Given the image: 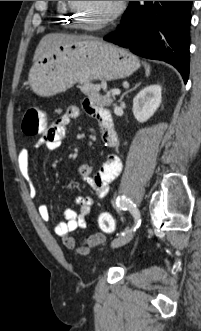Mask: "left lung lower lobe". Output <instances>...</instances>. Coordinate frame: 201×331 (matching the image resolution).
Instances as JSON below:
<instances>
[{"label":"left lung lower lobe","instance_id":"obj_1","mask_svg":"<svg viewBox=\"0 0 201 331\" xmlns=\"http://www.w3.org/2000/svg\"><path fill=\"white\" fill-rule=\"evenodd\" d=\"M192 2L130 1L117 30L104 39L140 56L172 64L186 83Z\"/></svg>","mask_w":201,"mask_h":331}]
</instances>
